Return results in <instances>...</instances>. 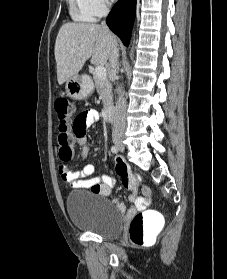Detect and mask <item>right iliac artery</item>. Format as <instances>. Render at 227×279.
<instances>
[{
	"instance_id": "1",
	"label": "right iliac artery",
	"mask_w": 227,
	"mask_h": 279,
	"mask_svg": "<svg viewBox=\"0 0 227 279\" xmlns=\"http://www.w3.org/2000/svg\"><path fill=\"white\" fill-rule=\"evenodd\" d=\"M111 151H112L113 153H117V152H118V148H117L116 146H112V147H111Z\"/></svg>"
}]
</instances>
